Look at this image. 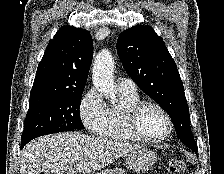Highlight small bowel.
<instances>
[{
  "instance_id": "small-bowel-1",
  "label": "small bowel",
  "mask_w": 224,
  "mask_h": 174,
  "mask_svg": "<svg viewBox=\"0 0 224 174\" xmlns=\"http://www.w3.org/2000/svg\"><path fill=\"white\" fill-rule=\"evenodd\" d=\"M116 174H124V173L117 172Z\"/></svg>"
}]
</instances>
